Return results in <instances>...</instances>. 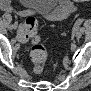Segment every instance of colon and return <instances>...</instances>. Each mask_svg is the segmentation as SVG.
I'll use <instances>...</instances> for the list:
<instances>
[{
    "label": "colon",
    "mask_w": 91,
    "mask_h": 91,
    "mask_svg": "<svg viewBox=\"0 0 91 91\" xmlns=\"http://www.w3.org/2000/svg\"><path fill=\"white\" fill-rule=\"evenodd\" d=\"M37 24V19L32 14H28L24 18V27H21V34L25 38L32 39L31 58L36 72H42L48 58V48L42 42L43 37L36 33Z\"/></svg>",
    "instance_id": "1"
}]
</instances>
